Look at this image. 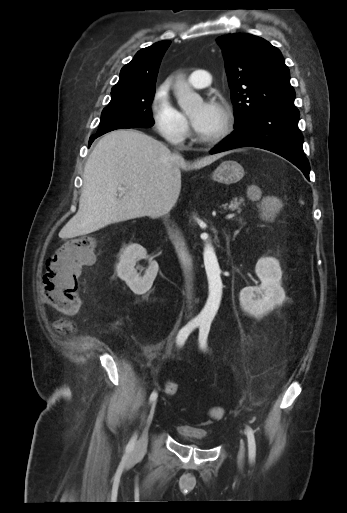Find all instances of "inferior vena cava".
Instances as JSON below:
<instances>
[{"mask_svg":"<svg viewBox=\"0 0 347 513\" xmlns=\"http://www.w3.org/2000/svg\"><path fill=\"white\" fill-rule=\"evenodd\" d=\"M176 157H179V155H176ZM175 202H176V200L171 199V197L164 196V199L159 202V207H160V211L162 212V215H167L170 212V210L172 209V207L174 206ZM173 239H174L173 244L175 246V250L178 255V258L182 264L185 279H186V288L188 291L187 298H188V300H190L192 297V294L190 292L192 289V285H190V282L192 280V275H191L192 260L190 258L189 252L187 251V248L185 247L184 241L177 235L173 236Z\"/></svg>","mask_w":347,"mask_h":513,"instance_id":"obj_1","label":"inferior vena cava"}]
</instances>
